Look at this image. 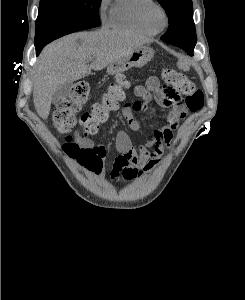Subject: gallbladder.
Listing matches in <instances>:
<instances>
[{"label": "gallbladder", "mask_w": 245, "mask_h": 300, "mask_svg": "<svg viewBox=\"0 0 245 300\" xmlns=\"http://www.w3.org/2000/svg\"><path fill=\"white\" fill-rule=\"evenodd\" d=\"M73 83H66L60 86L53 95V103H59L64 98L71 95Z\"/></svg>", "instance_id": "bac80fb5"}]
</instances>
